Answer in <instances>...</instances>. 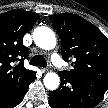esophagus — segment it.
<instances>
[{
  "instance_id": "1",
  "label": "esophagus",
  "mask_w": 108,
  "mask_h": 108,
  "mask_svg": "<svg viewBox=\"0 0 108 108\" xmlns=\"http://www.w3.org/2000/svg\"><path fill=\"white\" fill-rule=\"evenodd\" d=\"M41 70H42V72H44V73L49 72V68H42Z\"/></svg>"
}]
</instances>
